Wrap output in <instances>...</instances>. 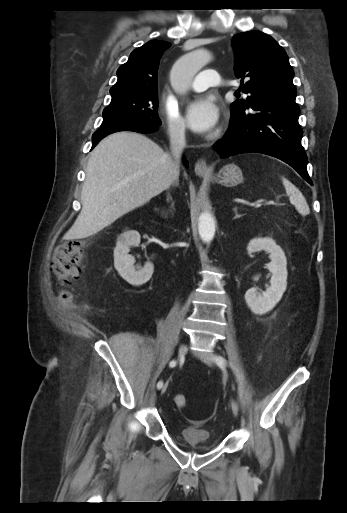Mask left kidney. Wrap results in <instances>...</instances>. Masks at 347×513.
Listing matches in <instances>:
<instances>
[{"label":"left kidney","mask_w":347,"mask_h":513,"mask_svg":"<svg viewBox=\"0 0 347 513\" xmlns=\"http://www.w3.org/2000/svg\"><path fill=\"white\" fill-rule=\"evenodd\" d=\"M261 250L270 254L271 262L268 264V269L272 273L271 285L262 293H258L255 287L248 289L245 293L248 307L258 315L269 312L281 300L287 288L288 275L285 253L272 238H254L247 246L249 253ZM254 280H258V276L254 277Z\"/></svg>","instance_id":"1"}]
</instances>
